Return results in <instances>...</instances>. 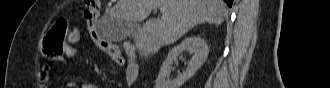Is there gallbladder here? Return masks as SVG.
Wrapping results in <instances>:
<instances>
[{"label": "gallbladder", "mask_w": 330, "mask_h": 88, "mask_svg": "<svg viewBox=\"0 0 330 88\" xmlns=\"http://www.w3.org/2000/svg\"><path fill=\"white\" fill-rule=\"evenodd\" d=\"M139 29L137 23H128L125 21H105L102 23V35L110 42H119L133 37Z\"/></svg>", "instance_id": "1"}]
</instances>
